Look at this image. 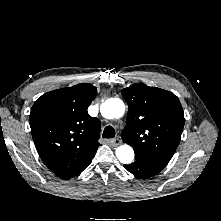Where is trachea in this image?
Returning <instances> with one entry per match:
<instances>
[{"instance_id":"obj_1","label":"trachea","mask_w":221,"mask_h":221,"mask_svg":"<svg viewBox=\"0 0 221 221\" xmlns=\"http://www.w3.org/2000/svg\"><path fill=\"white\" fill-rule=\"evenodd\" d=\"M103 138H113L115 136V129L112 126L105 127L103 131Z\"/></svg>"}]
</instances>
